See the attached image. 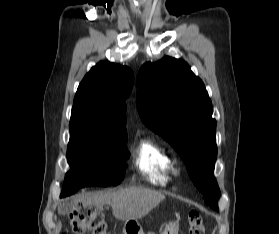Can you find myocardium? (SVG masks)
<instances>
[{
  "label": "myocardium",
  "mask_w": 279,
  "mask_h": 234,
  "mask_svg": "<svg viewBox=\"0 0 279 234\" xmlns=\"http://www.w3.org/2000/svg\"><path fill=\"white\" fill-rule=\"evenodd\" d=\"M172 174L174 175V176H179L180 174H181V170L178 168V167H173L172 168Z\"/></svg>",
  "instance_id": "f54148a6"
}]
</instances>
